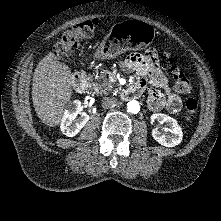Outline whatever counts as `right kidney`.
Instances as JSON below:
<instances>
[{"mask_svg":"<svg viewBox=\"0 0 221 221\" xmlns=\"http://www.w3.org/2000/svg\"><path fill=\"white\" fill-rule=\"evenodd\" d=\"M80 106L81 102L74 100L67 105V109L64 112L60 129L68 137L77 135L90 119L87 113L80 112ZM77 115H79L78 118H76Z\"/></svg>","mask_w":221,"mask_h":221,"instance_id":"right-kidney-1","label":"right kidney"}]
</instances>
